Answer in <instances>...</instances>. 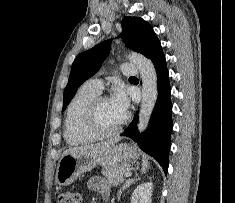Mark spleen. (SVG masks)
<instances>
[{
  "mask_svg": "<svg viewBox=\"0 0 235 203\" xmlns=\"http://www.w3.org/2000/svg\"><path fill=\"white\" fill-rule=\"evenodd\" d=\"M149 168V162L148 159H143V163H142V173H146V170Z\"/></svg>",
  "mask_w": 235,
  "mask_h": 203,
  "instance_id": "spleen-1",
  "label": "spleen"
}]
</instances>
